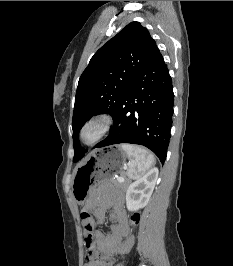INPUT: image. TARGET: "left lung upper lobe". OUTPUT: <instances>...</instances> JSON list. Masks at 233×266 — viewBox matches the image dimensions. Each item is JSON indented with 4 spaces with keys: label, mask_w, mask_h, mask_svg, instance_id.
Masks as SVG:
<instances>
[{
    "label": "left lung upper lobe",
    "mask_w": 233,
    "mask_h": 266,
    "mask_svg": "<svg viewBox=\"0 0 233 266\" xmlns=\"http://www.w3.org/2000/svg\"><path fill=\"white\" fill-rule=\"evenodd\" d=\"M156 48L149 31L139 22H131L91 58L79 79L75 97L74 162L85 153L78 140L79 130L93 115H114Z\"/></svg>",
    "instance_id": "1"
}]
</instances>
